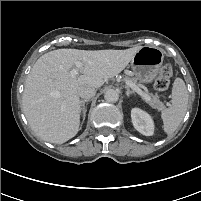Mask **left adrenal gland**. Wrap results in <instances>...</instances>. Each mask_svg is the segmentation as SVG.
Wrapping results in <instances>:
<instances>
[{
    "label": "left adrenal gland",
    "instance_id": "a2214340",
    "mask_svg": "<svg viewBox=\"0 0 201 201\" xmlns=\"http://www.w3.org/2000/svg\"><path fill=\"white\" fill-rule=\"evenodd\" d=\"M127 89L126 91V95L129 97L131 94H133V92L126 86L125 87Z\"/></svg>",
    "mask_w": 201,
    "mask_h": 201
}]
</instances>
